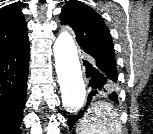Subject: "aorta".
I'll use <instances>...</instances> for the list:
<instances>
[{"label": "aorta", "mask_w": 153, "mask_h": 134, "mask_svg": "<svg viewBox=\"0 0 153 134\" xmlns=\"http://www.w3.org/2000/svg\"><path fill=\"white\" fill-rule=\"evenodd\" d=\"M53 52L62 104L67 111L77 112L84 105L86 89L77 48L67 31L59 34Z\"/></svg>", "instance_id": "1"}]
</instances>
